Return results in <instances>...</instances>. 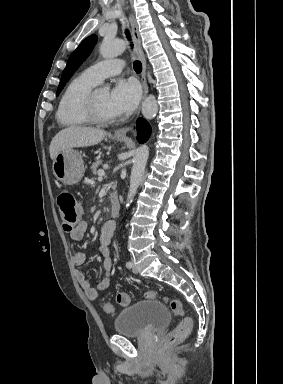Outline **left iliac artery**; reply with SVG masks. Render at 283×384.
Masks as SVG:
<instances>
[{
  "instance_id": "44dca946",
  "label": "left iliac artery",
  "mask_w": 283,
  "mask_h": 384,
  "mask_svg": "<svg viewBox=\"0 0 283 384\" xmlns=\"http://www.w3.org/2000/svg\"><path fill=\"white\" fill-rule=\"evenodd\" d=\"M126 267H127V268H131V267H132V263H131L130 261H128V262L126 263Z\"/></svg>"
}]
</instances>
